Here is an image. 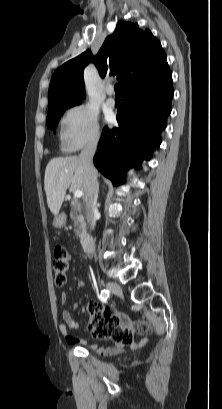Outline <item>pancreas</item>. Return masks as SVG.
Here are the masks:
<instances>
[{
    "label": "pancreas",
    "instance_id": "1",
    "mask_svg": "<svg viewBox=\"0 0 222 409\" xmlns=\"http://www.w3.org/2000/svg\"><path fill=\"white\" fill-rule=\"evenodd\" d=\"M70 218L73 221L75 233L80 238H83L86 234V223L83 216L82 205L76 198H73L71 201Z\"/></svg>",
    "mask_w": 222,
    "mask_h": 409
}]
</instances>
